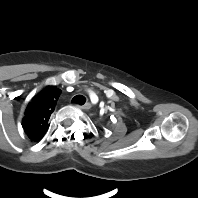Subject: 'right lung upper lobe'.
<instances>
[{
	"instance_id": "obj_1",
	"label": "right lung upper lobe",
	"mask_w": 198,
	"mask_h": 198,
	"mask_svg": "<svg viewBox=\"0 0 198 198\" xmlns=\"http://www.w3.org/2000/svg\"><path fill=\"white\" fill-rule=\"evenodd\" d=\"M60 93L56 86H47L28 104L22 127L32 141L40 140L46 133Z\"/></svg>"
}]
</instances>
